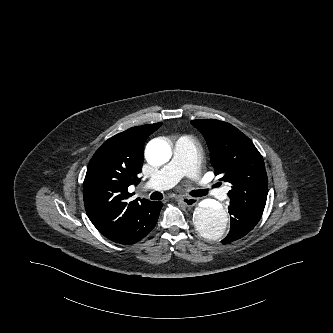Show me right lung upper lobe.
Wrapping results in <instances>:
<instances>
[{
  "label": "right lung upper lobe",
  "instance_id": "right-lung-upper-lobe-1",
  "mask_svg": "<svg viewBox=\"0 0 333 333\" xmlns=\"http://www.w3.org/2000/svg\"><path fill=\"white\" fill-rule=\"evenodd\" d=\"M162 123L132 127L105 141L91 158L83 183L87 215L101 234L115 226L145 199H135L128 192L140 179L145 141Z\"/></svg>",
  "mask_w": 333,
  "mask_h": 333
}]
</instances>
